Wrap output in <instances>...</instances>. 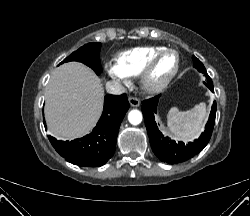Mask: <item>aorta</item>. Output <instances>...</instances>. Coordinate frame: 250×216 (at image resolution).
Returning a JSON list of instances; mask_svg holds the SVG:
<instances>
[{"label": "aorta", "instance_id": "obj_1", "mask_svg": "<svg viewBox=\"0 0 250 216\" xmlns=\"http://www.w3.org/2000/svg\"><path fill=\"white\" fill-rule=\"evenodd\" d=\"M128 120L132 125H138L142 122V113L139 110H131L128 114Z\"/></svg>", "mask_w": 250, "mask_h": 216}]
</instances>
